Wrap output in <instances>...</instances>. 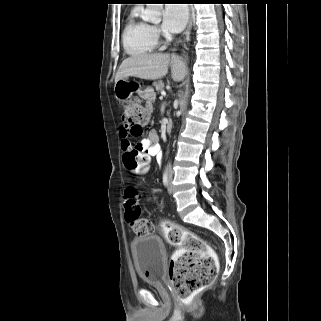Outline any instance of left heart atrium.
<instances>
[{
    "label": "left heart atrium",
    "instance_id": "left-heart-atrium-1",
    "mask_svg": "<svg viewBox=\"0 0 321 321\" xmlns=\"http://www.w3.org/2000/svg\"><path fill=\"white\" fill-rule=\"evenodd\" d=\"M188 19V9L184 4H167L163 12L162 28L169 33L180 32Z\"/></svg>",
    "mask_w": 321,
    "mask_h": 321
}]
</instances>
